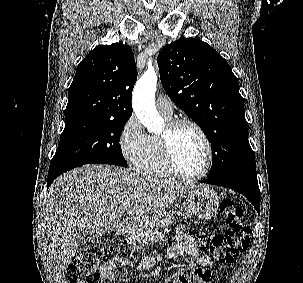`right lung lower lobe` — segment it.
Masks as SVG:
<instances>
[{"instance_id": "obj_1", "label": "right lung lower lobe", "mask_w": 303, "mask_h": 283, "mask_svg": "<svg viewBox=\"0 0 303 283\" xmlns=\"http://www.w3.org/2000/svg\"><path fill=\"white\" fill-rule=\"evenodd\" d=\"M78 166H67V167H58L55 169H49L48 180H47V189L50 187L54 179H56L59 175L63 174L64 172L71 170Z\"/></svg>"}]
</instances>
